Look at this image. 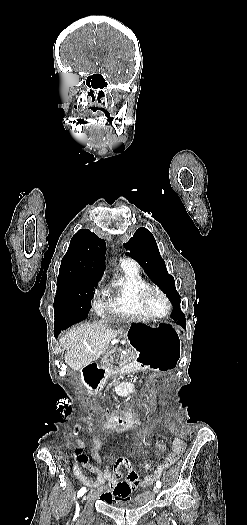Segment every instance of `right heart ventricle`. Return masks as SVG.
Instances as JSON below:
<instances>
[{"label": "right heart ventricle", "mask_w": 247, "mask_h": 525, "mask_svg": "<svg viewBox=\"0 0 247 525\" xmlns=\"http://www.w3.org/2000/svg\"><path fill=\"white\" fill-rule=\"evenodd\" d=\"M121 275L115 284V301H108L103 305L100 315L104 317H149L142 303L145 300L138 298L135 289L145 282L139 271L128 259L120 262Z\"/></svg>", "instance_id": "right-heart-ventricle-1"}]
</instances>
